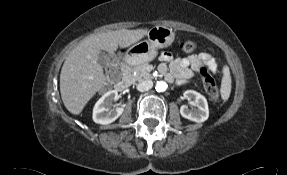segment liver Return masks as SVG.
I'll return each instance as SVG.
<instances>
[{
	"instance_id": "6515ba94",
	"label": "liver",
	"mask_w": 287,
	"mask_h": 175,
	"mask_svg": "<svg viewBox=\"0 0 287 175\" xmlns=\"http://www.w3.org/2000/svg\"><path fill=\"white\" fill-rule=\"evenodd\" d=\"M148 30H116L91 35L80 42L66 58L60 73V93L66 109L75 115L106 84L98 54L114 53L118 46L128 47L142 39Z\"/></svg>"
}]
</instances>
